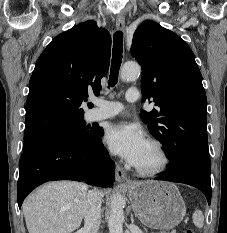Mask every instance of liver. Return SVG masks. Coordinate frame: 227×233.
Returning a JSON list of instances; mask_svg holds the SVG:
<instances>
[{"label":"liver","mask_w":227,"mask_h":233,"mask_svg":"<svg viewBox=\"0 0 227 233\" xmlns=\"http://www.w3.org/2000/svg\"><path fill=\"white\" fill-rule=\"evenodd\" d=\"M86 184L55 181L44 184L23 203L29 233H72L81 225Z\"/></svg>","instance_id":"obj_1"}]
</instances>
